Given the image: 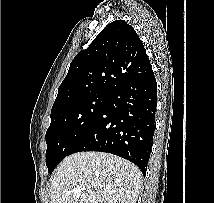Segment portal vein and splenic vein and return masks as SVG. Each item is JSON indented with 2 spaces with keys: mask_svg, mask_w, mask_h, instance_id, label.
<instances>
[{
  "mask_svg": "<svg viewBox=\"0 0 214 203\" xmlns=\"http://www.w3.org/2000/svg\"><path fill=\"white\" fill-rule=\"evenodd\" d=\"M80 192H81L80 189H74V190H73V193H74V194H80Z\"/></svg>",
  "mask_w": 214,
  "mask_h": 203,
  "instance_id": "portal-vein-and-splenic-vein-1",
  "label": "portal vein and splenic vein"
}]
</instances>
